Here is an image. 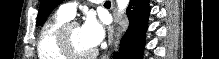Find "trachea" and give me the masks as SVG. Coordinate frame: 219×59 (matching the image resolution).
Here are the masks:
<instances>
[{
	"label": "trachea",
	"mask_w": 219,
	"mask_h": 59,
	"mask_svg": "<svg viewBox=\"0 0 219 59\" xmlns=\"http://www.w3.org/2000/svg\"><path fill=\"white\" fill-rule=\"evenodd\" d=\"M109 3H111V2H110V1H106V2H105V4H109Z\"/></svg>",
	"instance_id": "trachea-1"
}]
</instances>
